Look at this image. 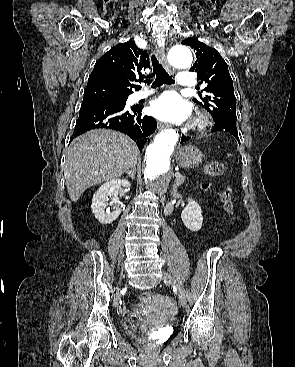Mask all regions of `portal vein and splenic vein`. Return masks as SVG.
I'll return each mask as SVG.
<instances>
[{
  "label": "portal vein and splenic vein",
  "instance_id": "obj_1",
  "mask_svg": "<svg viewBox=\"0 0 295 367\" xmlns=\"http://www.w3.org/2000/svg\"><path fill=\"white\" fill-rule=\"evenodd\" d=\"M175 176H176V177L180 176V173H179V172H176V173H175Z\"/></svg>",
  "mask_w": 295,
  "mask_h": 367
}]
</instances>
